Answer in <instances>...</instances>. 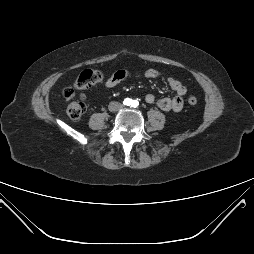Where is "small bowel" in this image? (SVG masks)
Instances as JSON below:
<instances>
[{"label": "small bowel", "mask_w": 254, "mask_h": 254, "mask_svg": "<svg viewBox=\"0 0 254 254\" xmlns=\"http://www.w3.org/2000/svg\"><path fill=\"white\" fill-rule=\"evenodd\" d=\"M142 75L143 77L147 79H154L157 78L159 73L155 69H147L140 73H134L126 69H120L113 73L106 81H105V87L106 88H113L116 85H118L123 80L132 77V76H139ZM168 84L170 88L175 92V96L173 97H164L160 99H156V97L149 93L145 96V101L148 104H156L158 108H160L163 111H175L178 112L182 110L184 102H183V96L187 92L186 86L176 78H169Z\"/></svg>", "instance_id": "obj_1"}]
</instances>
